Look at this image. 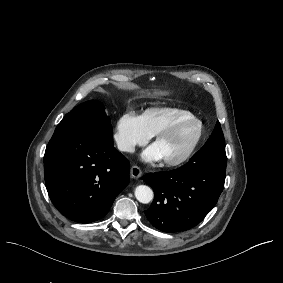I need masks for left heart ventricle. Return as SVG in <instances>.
I'll return each instance as SVG.
<instances>
[{"label": "left heart ventricle", "instance_id": "1", "mask_svg": "<svg viewBox=\"0 0 283 283\" xmlns=\"http://www.w3.org/2000/svg\"><path fill=\"white\" fill-rule=\"evenodd\" d=\"M194 134L195 124L188 122L181 126L173 137L157 142L164 155V160L179 158L189 147Z\"/></svg>", "mask_w": 283, "mask_h": 283}]
</instances>
